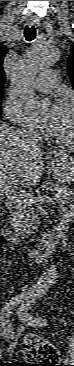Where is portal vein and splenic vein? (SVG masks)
Wrapping results in <instances>:
<instances>
[{
	"label": "portal vein and splenic vein",
	"mask_w": 74,
	"mask_h": 366,
	"mask_svg": "<svg viewBox=\"0 0 74 366\" xmlns=\"http://www.w3.org/2000/svg\"><path fill=\"white\" fill-rule=\"evenodd\" d=\"M2 189L5 191V194L7 197L15 200V201H20L21 199H25L26 195H25V192H22V193H19L17 194L15 191L9 189V188H5V187H2ZM53 197H50V196H41L37 199H31L32 202H38V201H43V200H47L49 202H53Z\"/></svg>",
	"instance_id": "18ae733b"
}]
</instances>
